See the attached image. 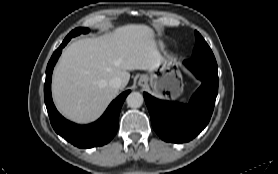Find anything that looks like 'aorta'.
Listing matches in <instances>:
<instances>
[{
	"instance_id": "762f6f07",
	"label": "aorta",
	"mask_w": 278,
	"mask_h": 174,
	"mask_svg": "<svg viewBox=\"0 0 278 174\" xmlns=\"http://www.w3.org/2000/svg\"><path fill=\"white\" fill-rule=\"evenodd\" d=\"M144 101L143 95L139 92H131L127 98V105L131 108H139L142 106Z\"/></svg>"
}]
</instances>
